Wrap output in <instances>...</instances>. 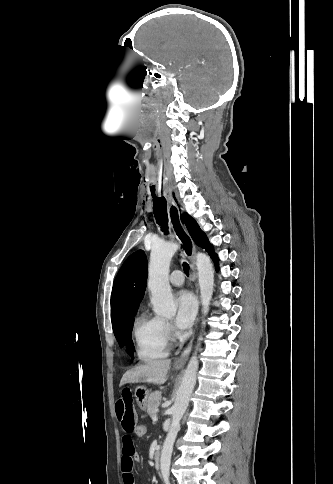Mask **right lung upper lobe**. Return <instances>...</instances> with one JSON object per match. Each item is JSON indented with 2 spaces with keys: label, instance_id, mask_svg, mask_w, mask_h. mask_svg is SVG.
I'll return each instance as SVG.
<instances>
[{
  "label": "right lung upper lobe",
  "instance_id": "cb5924a9",
  "mask_svg": "<svg viewBox=\"0 0 333 484\" xmlns=\"http://www.w3.org/2000/svg\"><path fill=\"white\" fill-rule=\"evenodd\" d=\"M147 258L142 250L134 252L122 265L113 285L111 318L113 329L137 311L144 296Z\"/></svg>",
  "mask_w": 333,
  "mask_h": 484
}]
</instances>
